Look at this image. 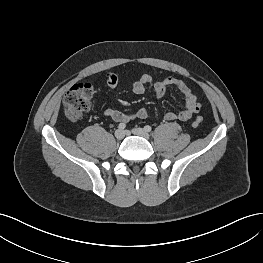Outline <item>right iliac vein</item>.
<instances>
[{"mask_svg": "<svg viewBox=\"0 0 263 263\" xmlns=\"http://www.w3.org/2000/svg\"><path fill=\"white\" fill-rule=\"evenodd\" d=\"M115 137L118 140H122L125 137V132L123 130L118 129L115 131Z\"/></svg>", "mask_w": 263, "mask_h": 263, "instance_id": "63e3f726", "label": "right iliac vein"}]
</instances>
